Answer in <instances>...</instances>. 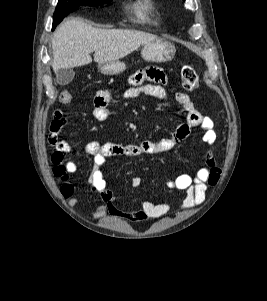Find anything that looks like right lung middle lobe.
Segmentation results:
<instances>
[{"label":"right lung middle lobe","instance_id":"dd1d6c3e","mask_svg":"<svg viewBox=\"0 0 267 301\" xmlns=\"http://www.w3.org/2000/svg\"><path fill=\"white\" fill-rule=\"evenodd\" d=\"M111 1L112 0H59L53 16V28L70 12L78 9L81 5L99 6Z\"/></svg>","mask_w":267,"mask_h":301}]
</instances>
